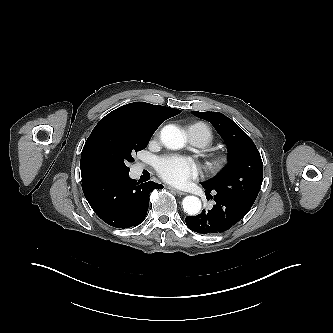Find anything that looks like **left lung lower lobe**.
Listing matches in <instances>:
<instances>
[{
    "label": "left lung lower lobe",
    "mask_w": 333,
    "mask_h": 333,
    "mask_svg": "<svg viewBox=\"0 0 333 333\" xmlns=\"http://www.w3.org/2000/svg\"><path fill=\"white\" fill-rule=\"evenodd\" d=\"M206 189L207 195L212 190ZM212 197V196H211ZM216 204L211 210H203L197 216L185 218L187 226L200 234H217L224 232L239 222L251 209L252 204L245 200L229 196L221 192H215Z\"/></svg>",
    "instance_id": "obj_1"
}]
</instances>
